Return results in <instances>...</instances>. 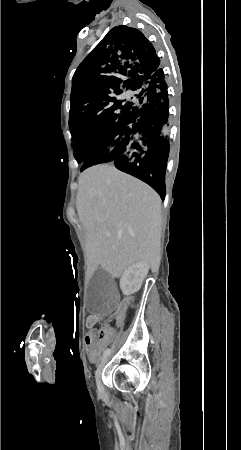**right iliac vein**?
<instances>
[{
    "mask_svg": "<svg viewBox=\"0 0 241 450\" xmlns=\"http://www.w3.org/2000/svg\"><path fill=\"white\" fill-rule=\"evenodd\" d=\"M107 360H108V358H104L101 361V363L97 369V372H96V383H97V387H98V390L100 393H103V391H104V386L101 381V375H102V369L106 365Z\"/></svg>",
    "mask_w": 241,
    "mask_h": 450,
    "instance_id": "63e3f726",
    "label": "right iliac vein"
}]
</instances>
